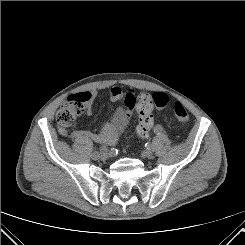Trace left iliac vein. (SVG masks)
Wrapping results in <instances>:
<instances>
[{
    "label": "left iliac vein",
    "mask_w": 245,
    "mask_h": 245,
    "mask_svg": "<svg viewBox=\"0 0 245 245\" xmlns=\"http://www.w3.org/2000/svg\"><path fill=\"white\" fill-rule=\"evenodd\" d=\"M143 156L146 158H152L153 157V152L150 149H146L145 151H143Z\"/></svg>",
    "instance_id": "obj_1"
}]
</instances>
